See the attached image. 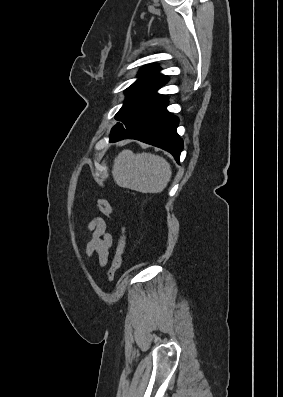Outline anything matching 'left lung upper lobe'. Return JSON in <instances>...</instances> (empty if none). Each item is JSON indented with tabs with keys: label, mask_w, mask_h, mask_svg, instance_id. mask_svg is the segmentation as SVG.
<instances>
[{
	"label": "left lung upper lobe",
	"mask_w": 283,
	"mask_h": 397,
	"mask_svg": "<svg viewBox=\"0 0 283 397\" xmlns=\"http://www.w3.org/2000/svg\"><path fill=\"white\" fill-rule=\"evenodd\" d=\"M160 69L154 64L146 66L138 73L139 79L125 90L127 98L115 115L121 123L112 128L110 137L121 134L139 117L167 99L165 95L156 93L168 81L167 76L158 73Z\"/></svg>",
	"instance_id": "left-lung-upper-lobe-1"
}]
</instances>
